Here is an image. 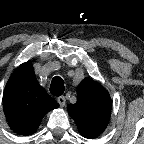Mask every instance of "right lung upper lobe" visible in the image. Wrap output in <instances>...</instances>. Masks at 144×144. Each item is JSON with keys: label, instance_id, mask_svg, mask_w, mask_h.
Masks as SVG:
<instances>
[{"label": "right lung upper lobe", "instance_id": "cb5924a9", "mask_svg": "<svg viewBox=\"0 0 144 144\" xmlns=\"http://www.w3.org/2000/svg\"><path fill=\"white\" fill-rule=\"evenodd\" d=\"M57 107L59 104L37 82L31 61L13 72L5 87L3 110L14 132L35 133L42 118Z\"/></svg>", "mask_w": 144, "mask_h": 144}]
</instances>
